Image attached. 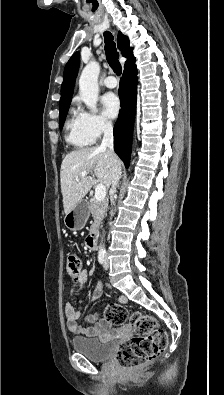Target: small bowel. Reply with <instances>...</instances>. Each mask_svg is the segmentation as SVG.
<instances>
[{"instance_id": "small-bowel-1", "label": "small bowel", "mask_w": 224, "mask_h": 395, "mask_svg": "<svg viewBox=\"0 0 224 395\" xmlns=\"http://www.w3.org/2000/svg\"><path fill=\"white\" fill-rule=\"evenodd\" d=\"M88 279L86 271H82L74 280V284L71 290V296L74 297L77 292L82 288ZM101 290L97 288L94 292L92 300H96L100 297ZM121 301H126L127 298L124 295L119 297ZM66 325L70 332L76 335H82L86 337H99L105 334H111V323L106 319L97 320L95 315L86 316L84 318V324L80 322L81 314L74 307L72 302H67L64 306Z\"/></svg>"}]
</instances>
